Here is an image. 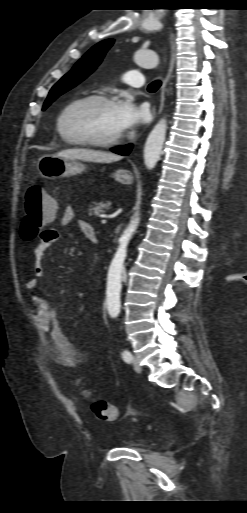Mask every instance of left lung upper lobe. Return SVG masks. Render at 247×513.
Wrapping results in <instances>:
<instances>
[{
  "instance_id": "5c2ea615",
  "label": "left lung upper lobe",
  "mask_w": 247,
  "mask_h": 513,
  "mask_svg": "<svg viewBox=\"0 0 247 513\" xmlns=\"http://www.w3.org/2000/svg\"><path fill=\"white\" fill-rule=\"evenodd\" d=\"M113 43V39L101 41L85 53L74 65L71 71L63 76L50 90L44 103L43 110H45L60 95L86 79L101 63L103 57Z\"/></svg>"
}]
</instances>
